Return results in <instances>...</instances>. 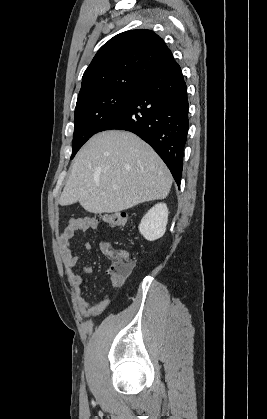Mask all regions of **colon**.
<instances>
[{"label": "colon", "mask_w": 267, "mask_h": 419, "mask_svg": "<svg viewBox=\"0 0 267 419\" xmlns=\"http://www.w3.org/2000/svg\"><path fill=\"white\" fill-rule=\"evenodd\" d=\"M94 219L111 227H125L128 224V216L122 212L103 213L95 216ZM133 267L134 260L131 255L125 250H116L111 256L108 273L111 276L126 277L131 273Z\"/></svg>", "instance_id": "1"}]
</instances>
